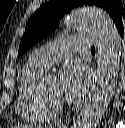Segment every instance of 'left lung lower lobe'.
<instances>
[{"label": "left lung lower lobe", "instance_id": "0a47b994", "mask_svg": "<svg viewBox=\"0 0 125 128\" xmlns=\"http://www.w3.org/2000/svg\"><path fill=\"white\" fill-rule=\"evenodd\" d=\"M117 28H118L120 34L123 35V23L118 24Z\"/></svg>", "mask_w": 125, "mask_h": 128}]
</instances>
